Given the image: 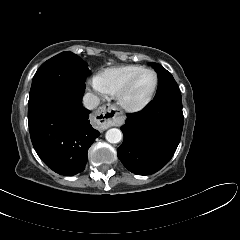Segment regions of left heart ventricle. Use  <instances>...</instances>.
I'll list each match as a JSON object with an SVG mask.
<instances>
[{"mask_svg":"<svg viewBox=\"0 0 240 240\" xmlns=\"http://www.w3.org/2000/svg\"><path fill=\"white\" fill-rule=\"evenodd\" d=\"M155 83L151 72L141 74L127 92L125 99L130 104H138L144 101L152 91Z\"/></svg>","mask_w":240,"mask_h":240,"instance_id":"obj_1","label":"left heart ventricle"}]
</instances>
